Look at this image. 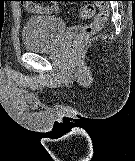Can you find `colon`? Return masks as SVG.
<instances>
[{"mask_svg":"<svg viewBox=\"0 0 135 161\" xmlns=\"http://www.w3.org/2000/svg\"><path fill=\"white\" fill-rule=\"evenodd\" d=\"M100 3L94 4H84L80 9V16L82 18H91L95 14V8L98 7V12L94 16L93 20L86 24L83 30L76 36L74 39L72 46L74 49H80L85 41L98 33L104 23L106 22L109 16V7L107 4L103 3V1H98Z\"/></svg>","mask_w":135,"mask_h":161,"instance_id":"5ec220e1","label":"colon"}]
</instances>
